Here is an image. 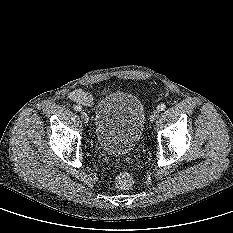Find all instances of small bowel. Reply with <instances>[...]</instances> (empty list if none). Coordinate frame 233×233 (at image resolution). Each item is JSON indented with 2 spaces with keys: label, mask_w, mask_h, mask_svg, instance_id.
<instances>
[{
  "label": "small bowel",
  "mask_w": 233,
  "mask_h": 233,
  "mask_svg": "<svg viewBox=\"0 0 233 233\" xmlns=\"http://www.w3.org/2000/svg\"><path fill=\"white\" fill-rule=\"evenodd\" d=\"M70 98L74 102L84 106H90L93 103V96L90 93L80 89L71 92Z\"/></svg>",
  "instance_id": "1"
}]
</instances>
